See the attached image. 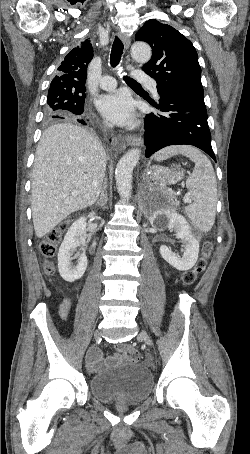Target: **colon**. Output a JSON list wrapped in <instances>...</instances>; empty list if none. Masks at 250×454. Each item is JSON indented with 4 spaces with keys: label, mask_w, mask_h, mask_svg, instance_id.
Masks as SVG:
<instances>
[{
    "label": "colon",
    "mask_w": 250,
    "mask_h": 454,
    "mask_svg": "<svg viewBox=\"0 0 250 454\" xmlns=\"http://www.w3.org/2000/svg\"><path fill=\"white\" fill-rule=\"evenodd\" d=\"M67 224H63L59 228L53 229L43 240L40 244V251L46 258H52L55 256L57 251L58 243L60 242L62 231L65 229ZM213 251V244L212 242H205L202 246L201 256L198 259L195 267L187 271L182 277V283L185 286L193 285L200 274H202L207 265L208 260ZM47 274L53 273V267L51 265H47L45 268ZM117 351L127 360L130 361H139L140 354L139 352L132 346L129 345H119L117 347Z\"/></svg>",
    "instance_id": "colon-1"
}]
</instances>
